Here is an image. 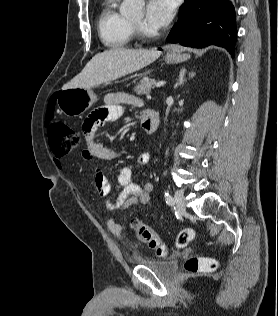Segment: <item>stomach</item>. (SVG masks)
<instances>
[{"label":"stomach","mask_w":278,"mask_h":316,"mask_svg":"<svg viewBox=\"0 0 278 316\" xmlns=\"http://www.w3.org/2000/svg\"><path fill=\"white\" fill-rule=\"evenodd\" d=\"M190 58L188 54L168 53L167 63H179ZM97 101L92 87L62 89L58 94L57 104L62 113L68 117H76L87 111Z\"/></svg>","instance_id":"0dacf381"}]
</instances>
